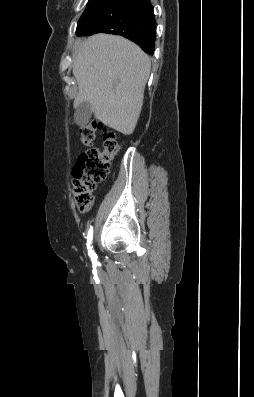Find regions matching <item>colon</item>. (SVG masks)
Masks as SVG:
<instances>
[{
  "label": "colon",
  "instance_id": "5ec220e1",
  "mask_svg": "<svg viewBox=\"0 0 254 397\" xmlns=\"http://www.w3.org/2000/svg\"><path fill=\"white\" fill-rule=\"evenodd\" d=\"M98 129L103 131V149L91 148L81 153L73 170L75 201L80 212H88L93 204L92 192L97 184L106 179L110 161L119 151L116 134L98 121H92L80 128L81 142L90 146Z\"/></svg>",
  "mask_w": 254,
  "mask_h": 397
}]
</instances>
